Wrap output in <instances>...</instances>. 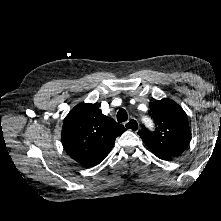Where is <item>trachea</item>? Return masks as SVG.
Here are the masks:
<instances>
[{"label": "trachea", "instance_id": "3493384b", "mask_svg": "<svg viewBox=\"0 0 221 221\" xmlns=\"http://www.w3.org/2000/svg\"><path fill=\"white\" fill-rule=\"evenodd\" d=\"M128 119V115L125 109H120L117 113V121L118 122H125Z\"/></svg>", "mask_w": 221, "mask_h": 221}]
</instances>
